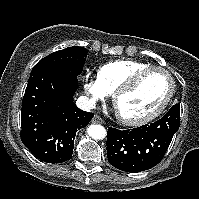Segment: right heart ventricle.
<instances>
[{
	"instance_id": "obj_1",
	"label": "right heart ventricle",
	"mask_w": 199,
	"mask_h": 199,
	"mask_svg": "<svg viewBox=\"0 0 199 199\" xmlns=\"http://www.w3.org/2000/svg\"><path fill=\"white\" fill-rule=\"evenodd\" d=\"M149 66L151 65L137 60H115L99 67L97 71V79L106 91L111 94L134 72Z\"/></svg>"
}]
</instances>
